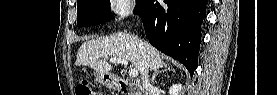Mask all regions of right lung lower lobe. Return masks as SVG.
Listing matches in <instances>:
<instances>
[{
	"label": "right lung lower lobe",
	"instance_id": "right-lung-lower-lobe-1",
	"mask_svg": "<svg viewBox=\"0 0 277 95\" xmlns=\"http://www.w3.org/2000/svg\"><path fill=\"white\" fill-rule=\"evenodd\" d=\"M207 0H138L136 14L155 48L180 61L192 76L197 68L201 23Z\"/></svg>",
	"mask_w": 277,
	"mask_h": 95
}]
</instances>
